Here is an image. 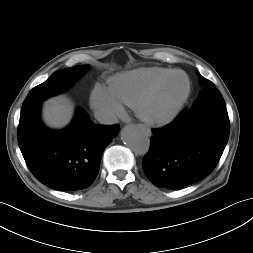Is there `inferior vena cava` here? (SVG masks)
Masks as SVG:
<instances>
[{
    "label": "inferior vena cava",
    "mask_w": 253,
    "mask_h": 253,
    "mask_svg": "<svg viewBox=\"0 0 253 253\" xmlns=\"http://www.w3.org/2000/svg\"><path fill=\"white\" fill-rule=\"evenodd\" d=\"M94 117L101 124L111 125L118 122L117 117L113 113L105 110H96L94 112Z\"/></svg>",
    "instance_id": "1"
}]
</instances>
